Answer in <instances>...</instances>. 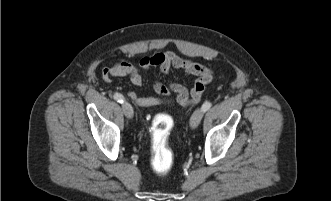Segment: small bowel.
I'll return each mask as SVG.
<instances>
[{"label":"small bowel","mask_w":331,"mask_h":201,"mask_svg":"<svg viewBox=\"0 0 331 201\" xmlns=\"http://www.w3.org/2000/svg\"><path fill=\"white\" fill-rule=\"evenodd\" d=\"M139 65L143 70L158 67L160 72L165 75L172 69H177L191 76H211V72L208 68L182 58L171 51L145 56L140 60ZM102 76L106 81H110L113 77H128L129 81L134 86H141L143 83V78L139 70L127 60H121L112 67L104 69ZM153 88L162 97L169 95L171 91L175 92L181 103L183 100L189 98L188 89L180 84H165L157 81L153 84ZM129 96L139 105L156 104L160 101L159 98H141L134 91L130 92Z\"/></svg>","instance_id":"c3829d8e"}]
</instances>
